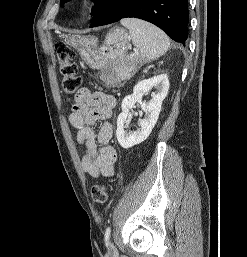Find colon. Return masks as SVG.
I'll return each mask as SVG.
<instances>
[{
  "label": "colon",
  "instance_id": "obj_1",
  "mask_svg": "<svg viewBox=\"0 0 247 257\" xmlns=\"http://www.w3.org/2000/svg\"><path fill=\"white\" fill-rule=\"evenodd\" d=\"M58 70L61 77V86L66 95H73L78 92L82 78L78 75V67L74 62L75 52L65 44L56 46ZM92 200L103 204L108 198V188L104 184H97L91 188Z\"/></svg>",
  "mask_w": 247,
  "mask_h": 257
}]
</instances>
